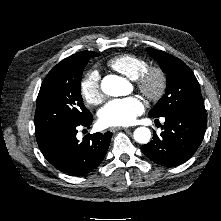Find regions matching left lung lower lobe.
Here are the masks:
<instances>
[{
	"label": "left lung lower lobe",
	"mask_w": 221,
	"mask_h": 221,
	"mask_svg": "<svg viewBox=\"0 0 221 221\" xmlns=\"http://www.w3.org/2000/svg\"><path fill=\"white\" fill-rule=\"evenodd\" d=\"M163 117V132L160 136L154 132L152 140L141 150L152 161L173 167L184 163L196 152L204 137L207 117L206 112L190 110Z\"/></svg>",
	"instance_id": "0a47b994"
}]
</instances>
